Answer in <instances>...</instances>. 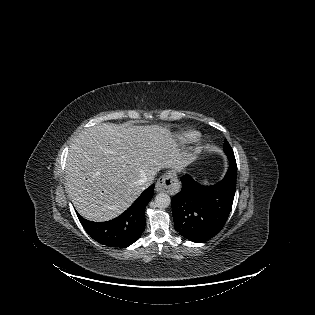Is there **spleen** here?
Wrapping results in <instances>:
<instances>
[{"label": "spleen", "instance_id": "1", "mask_svg": "<svg viewBox=\"0 0 315 315\" xmlns=\"http://www.w3.org/2000/svg\"><path fill=\"white\" fill-rule=\"evenodd\" d=\"M202 183L207 184V181H202Z\"/></svg>", "mask_w": 315, "mask_h": 315}]
</instances>
